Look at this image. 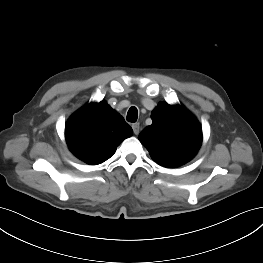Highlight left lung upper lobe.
<instances>
[{
  "instance_id": "obj_1",
  "label": "left lung upper lobe",
  "mask_w": 263,
  "mask_h": 263,
  "mask_svg": "<svg viewBox=\"0 0 263 263\" xmlns=\"http://www.w3.org/2000/svg\"><path fill=\"white\" fill-rule=\"evenodd\" d=\"M152 124L138 139L159 165L175 168L190 161L202 142V129L183 106L160 103L151 113Z\"/></svg>"
}]
</instances>
